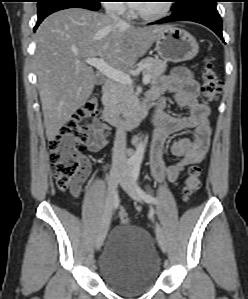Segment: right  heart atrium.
I'll list each match as a JSON object with an SVG mask.
<instances>
[{"label":"right heart atrium","mask_w":248,"mask_h":299,"mask_svg":"<svg viewBox=\"0 0 248 299\" xmlns=\"http://www.w3.org/2000/svg\"><path fill=\"white\" fill-rule=\"evenodd\" d=\"M121 2H124V1H122V0L107 1L108 10L118 13V14L124 13L126 10V7H124L122 4H120Z\"/></svg>","instance_id":"d8ad5b80"}]
</instances>
